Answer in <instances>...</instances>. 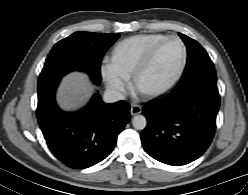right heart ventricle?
<instances>
[{"label": "right heart ventricle", "mask_w": 248, "mask_h": 195, "mask_svg": "<svg viewBox=\"0 0 248 195\" xmlns=\"http://www.w3.org/2000/svg\"><path fill=\"white\" fill-rule=\"evenodd\" d=\"M167 35L153 33L139 35L122 41L116 48L112 58V67L115 72L126 78L135 74L143 64L151 50Z\"/></svg>", "instance_id": "e07e8e85"}]
</instances>
